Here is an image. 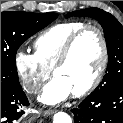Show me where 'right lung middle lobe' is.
Instances as JSON below:
<instances>
[{"instance_id": "obj_1", "label": "right lung middle lobe", "mask_w": 123, "mask_h": 123, "mask_svg": "<svg viewBox=\"0 0 123 123\" xmlns=\"http://www.w3.org/2000/svg\"><path fill=\"white\" fill-rule=\"evenodd\" d=\"M58 17L56 13L7 11L1 13V86H21L16 69L17 49Z\"/></svg>"}]
</instances>
